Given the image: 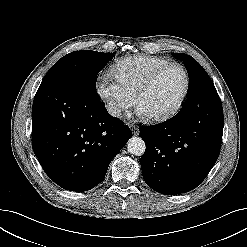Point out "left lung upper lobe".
<instances>
[{"label": "left lung upper lobe", "mask_w": 247, "mask_h": 247, "mask_svg": "<svg viewBox=\"0 0 247 247\" xmlns=\"http://www.w3.org/2000/svg\"><path fill=\"white\" fill-rule=\"evenodd\" d=\"M174 57L182 60L188 70L190 80V90L182 107L191 105L195 100L196 94L202 91L204 83H210L214 86L212 80L204 70V68L191 56L184 53H174Z\"/></svg>", "instance_id": "1"}]
</instances>
